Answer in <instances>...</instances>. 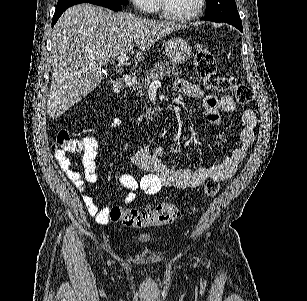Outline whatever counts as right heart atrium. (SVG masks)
<instances>
[{
  "label": "right heart atrium",
  "mask_w": 307,
  "mask_h": 301,
  "mask_svg": "<svg viewBox=\"0 0 307 301\" xmlns=\"http://www.w3.org/2000/svg\"><path fill=\"white\" fill-rule=\"evenodd\" d=\"M138 11H154L153 0H134Z\"/></svg>",
  "instance_id": "d8ad5b80"
}]
</instances>
